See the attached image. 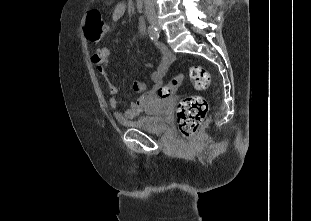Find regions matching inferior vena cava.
Masks as SVG:
<instances>
[{
    "instance_id": "inferior-vena-cava-1",
    "label": "inferior vena cava",
    "mask_w": 311,
    "mask_h": 221,
    "mask_svg": "<svg viewBox=\"0 0 311 221\" xmlns=\"http://www.w3.org/2000/svg\"><path fill=\"white\" fill-rule=\"evenodd\" d=\"M146 16H156L154 0H144Z\"/></svg>"
}]
</instances>
